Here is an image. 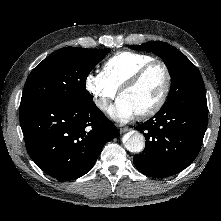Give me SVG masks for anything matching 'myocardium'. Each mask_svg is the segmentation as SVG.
<instances>
[{
  "label": "myocardium",
  "mask_w": 221,
  "mask_h": 221,
  "mask_svg": "<svg viewBox=\"0 0 221 221\" xmlns=\"http://www.w3.org/2000/svg\"><path fill=\"white\" fill-rule=\"evenodd\" d=\"M159 65L164 69L165 72V86L163 89V92L160 96V98L157 100V102L151 106L149 109L139 112L136 114V116L140 119H148L155 114H157L165 105L170 91H171V85H172V73L169 68V66L162 60H152L141 67H139L119 88V96H121L126 90L134 87L144 76V74L153 66Z\"/></svg>",
  "instance_id": "myocardium-1"
}]
</instances>
